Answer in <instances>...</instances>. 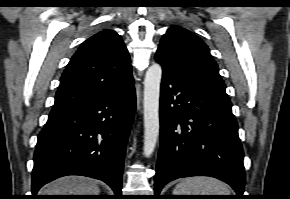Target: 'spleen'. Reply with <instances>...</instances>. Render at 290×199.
I'll return each instance as SVG.
<instances>
[{"instance_id":"obj_1","label":"spleen","mask_w":290,"mask_h":199,"mask_svg":"<svg viewBox=\"0 0 290 199\" xmlns=\"http://www.w3.org/2000/svg\"><path fill=\"white\" fill-rule=\"evenodd\" d=\"M174 195H230L228 186L210 177L182 179L174 188Z\"/></svg>"}]
</instances>
